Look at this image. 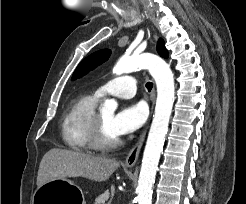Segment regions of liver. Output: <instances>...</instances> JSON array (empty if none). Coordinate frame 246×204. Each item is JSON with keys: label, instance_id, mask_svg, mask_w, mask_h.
Here are the masks:
<instances>
[{"label": "liver", "instance_id": "6515ba94", "mask_svg": "<svg viewBox=\"0 0 246 204\" xmlns=\"http://www.w3.org/2000/svg\"><path fill=\"white\" fill-rule=\"evenodd\" d=\"M119 167V162L81 151L53 148L43 156L37 175V187L53 179L85 177L106 181Z\"/></svg>", "mask_w": 246, "mask_h": 204}]
</instances>
